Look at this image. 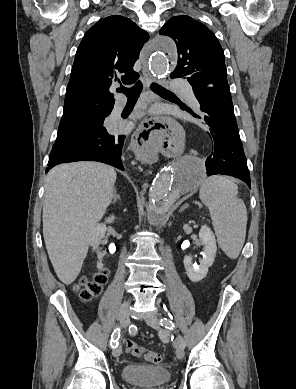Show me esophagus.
<instances>
[{
	"instance_id": "obj_1",
	"label": "esophagus",
	"mask_w": 296,
	"mask_h": 389,
	"mask_svg": "<svg viewBox=\"0 0 296 389\" xmlns=\"http://www.w3.org/2000/svg\"><path fill=\"white\" fill-rule=\"evenodd\" d=\"M142 63V74L149 85L154 81L143 54L140 55ZM183 123L180 118L173 120H157L154 112L149 114L145 122H139L134 130L131 146L136 156L143 158L147 163H157L160 160V153L156 150V139H169L176 131L182 129Z\"/></svg>"
}]
</instances>
